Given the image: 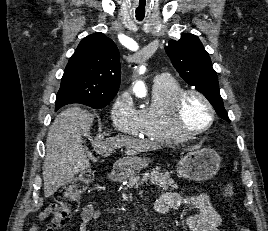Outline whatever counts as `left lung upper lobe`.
<instances>
[{
    "instance_id": "left-lung-upper-lobe-1",
    "label": "left lung upper lobe",
    "mask_w": 268,
    "mask_h": 231,
    "mask_svg": "<svg viewBox=\"0 0 268 231\" xmlns=\"http://www.w3.org/2000/svg\"><path fill=\"white\" fill-rule=\"evenodd\" d=\"M165 50L184 81L195 86L221 118L230 121L220 96L217 74L199 38L183 33L180 40H170Z\"/></svg>"
}]
</instances>
